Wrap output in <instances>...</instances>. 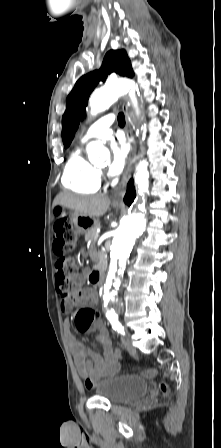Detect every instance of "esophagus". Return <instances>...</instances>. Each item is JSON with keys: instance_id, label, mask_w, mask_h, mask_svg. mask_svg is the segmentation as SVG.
Wrapping results in <instances>:
<instances>
[{"instance_id": "obj_1", "label": "esophagus", "mask_w": 221, "mask_h": 448, "mask_svg": "<svg viewBox=\"0 0 221 448\" xmlns=\"http://www.w3.org/2000/svg\"><path fill=\"white\" fill-rule=\"evenodd\" d=\"M123 110L125 112L126 116V136L128 139V142L131 144V153L130 157L127 162L126 169L124 171L123 177L119 185L115 188V195L112 199L113 203L122 204L123 203V195H124V189L127 185V182L131 176L133 163L136 159V143L134 139L132 124L130 121V118L128 116V102L125 101L123 103Z\"/></svg>"}]
</instances>
